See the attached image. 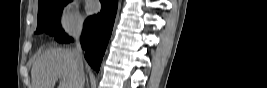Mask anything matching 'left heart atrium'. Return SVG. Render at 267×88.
Listing matches in <instances>:
<instances>
[{"label":"left heart atrium","instance_id":"1","mask_svg":"<svg viewBox=\"0 0 267 88\" xmlns=\"http://www.w3.org/2000/svg\"><path fill=\"white\" fill-rule=\"evenodd\" d=\"M98 10V5L96 3H90L89 4V11L90 12H96Z\"/></svg>","mask_w":267,"mask_h":88}]
</instances>
